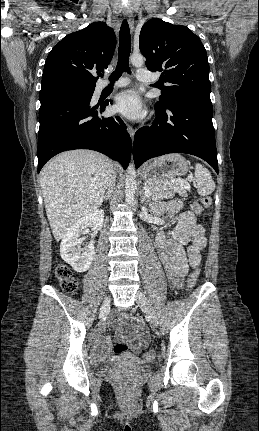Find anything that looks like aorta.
<instances>
[{
	"instance_id": "obj_1",
	"label": "aorta",
	"mask_w": 259,
	"mask_h": 431,
	"mask_svg": "<svg viewBox=\"0 0 259 431\" xmlns=\"http://www.w3.org/2000/svg\"><path fill=\"white\" fill-rule=\"evenodd\" d=\"M130 62L135 67H141L144 63L143 56L140 54H133L130 57ZM136 190V171L133 164H129L125 180V200L126 203L131 205L134 201Z\"/></svg>"
}]
</instances>
